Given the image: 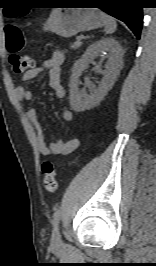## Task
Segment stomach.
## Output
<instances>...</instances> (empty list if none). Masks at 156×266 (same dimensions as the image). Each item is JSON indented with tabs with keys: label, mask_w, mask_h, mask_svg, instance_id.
<instances>
[{
	"label": "stomach",
	"mask_w": 156,
	"mask_h": 266,
	"mask_svg": "<svg viewBox=\"0 0 156 266\" xmlns=\"http://www.w3.org/2000/svg\"><path fill=\"white\" fill-rule=\"evenodd\" d=\"M66 5H77L72 2ZM104 25V13L98 9L58 8L54 9L43 26L62 37H71L81 31H89Z\"/></svg>",
	"instance_id": "obj_1"
}]
</instances>
